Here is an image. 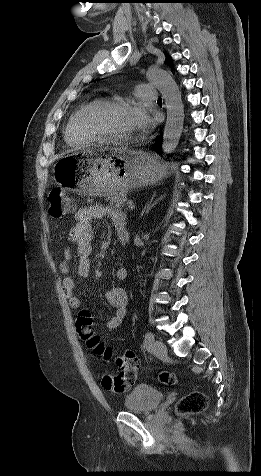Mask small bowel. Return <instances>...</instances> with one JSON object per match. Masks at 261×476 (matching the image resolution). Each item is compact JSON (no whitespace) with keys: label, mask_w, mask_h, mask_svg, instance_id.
I'll list each match as a JSON object with an SVG mask.
<instances>
[{"label":"small bowel","mask_w":261,"mask_h":476,"mask_svg":"<svg viewBox=\"0 0 261 476\" xmlns=\"http://www.w3.org/2000/svg\"><path fill=\"white\" fill-rule=\"evenodd\" d=\"M103 218H109L113 227L119 234L126 232V220L122 212L102 206L93 205L79 209L75 214V225L69 233V241L75 245L78 256V264L76 269L77 278H86L91 269V252L92 240L94 237L93 221ZM72 259V251L69 246L63 250V257L60 261V271L65 275L62 288L66 299L72 308L78 309L81 306V299L75 294L76 283L75 278L70 276V262ZM127 269L124 267L116 270V278L120 281L127 278ZM104 297L107 303L115 308V314L107 321L106 327L109 330H115L122 324L127 315L128 295L126 291L117 286H109L105 289Z\"/></svg>","instance_id":"1"}]
</instances>
